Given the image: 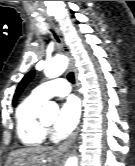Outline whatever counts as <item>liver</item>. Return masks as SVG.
<instances>
[{
    "label": "liver",
    "mask_w": 135,
    "mask_h": 166,
    "mask_svg": "<svg viewBox=\"0 0 135 166\" xmlns=\"http://www.w3.org/2000/svg\"><path fill=\"white\" fill-rule=\"evenodd\" d=\"M49 150L50 148L41 146L18 149L10 153L7 161H10L14 156L20 155L24 160L22 165H28L30 161L34 162V165H42L46 152ZM26 159L28 160L26 161Z\"/></svg>",
    "instance_id": "6515ba94"
}]
</instances>
